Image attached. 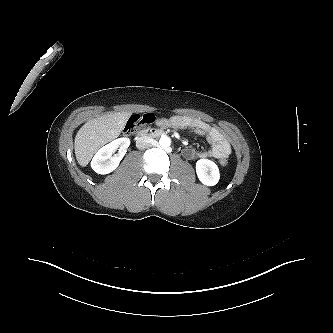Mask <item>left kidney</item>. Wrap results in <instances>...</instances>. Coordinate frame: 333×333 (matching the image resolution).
Here are the masks:
<instances>
[{
  "instance_id": "obj_1",
  "label": "left kidney",
  "mask_w": 333,
  "mask_h": 333,
  "mask_svg": "<svg viewBox=\"0 0 333 333\" xmlns=\"http://www.w3.org/2000/svg\"><path fill=\"white\" fill-rule=\"evenodd\" d=\"M196 172L199 180L207 186L216 185L220 179L218 166L208 159H200L197 161Z\"/></svg>"
}]
</instances>
